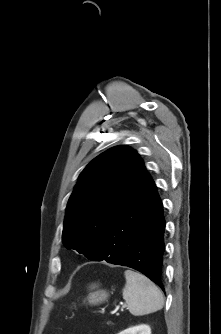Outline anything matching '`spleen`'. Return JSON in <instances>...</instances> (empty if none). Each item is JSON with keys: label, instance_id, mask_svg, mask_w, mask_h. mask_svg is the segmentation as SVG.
I'll list each match as a JSON object with an SVG mask.
<instances>
[{"label": "spleen", "instance_id": "spleen-1", "mask_svg": "<svg viewBox=\"0 0 221 334\" xmlns=\"http://www.w3.org/2000/svg\"><path fill=\"white\" fill-rule=\"evenodd\" d=\"M124 275L126 284L123 298L131 314L141 316L162 309L163 294L152 281L132 270H126Z\"/></svg>", "mask_w": 221, "mask_h": 334}]
</instances>
